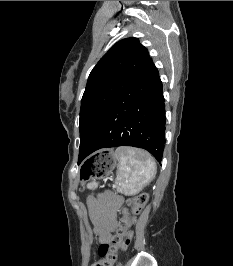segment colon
I'll return each instance as SVG.
<instances>
[{"label": "colon", "mask_w": 233, "mask_h": 266, "mask_svg": "<svg viewBox=\"0 0 233 266\" xmlns=\"http://www.w3.org/2000/svg\"><path fill=\"white\" fill-rule=\"evenodd\" d=\"M146 202L147 195L144 193L126 200L112 241L99 247L100 259L92 266H114L120 253L127 250L133 236L135 217L142 211Z\"/></svg>", "instance_id": "5ec220e1"}]
</instances>
